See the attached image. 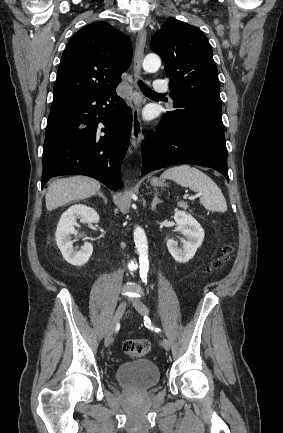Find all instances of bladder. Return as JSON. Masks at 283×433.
Segmentation results:
<instances>
[{
  "label": "bladder",
  "mask_w": 283,
  "mask_h": 433,
  "mask_svg": "<svg viewBox=\"0 0 283 433\" xmlns=\"http://www.w3.org/2000/svg\"><path fill=\"white\" fill-rule=\"evenodd\" d=\"M115 379L124 388L144 391L159 382L160 372L152 361L136 360L119 365Z\"/></svg>",
  "instance_id": "31cf9c89"
}]
</instances>
